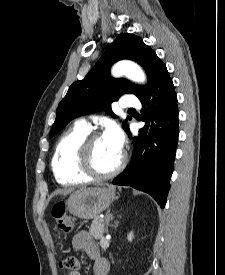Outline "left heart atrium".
<instances>
[{"label":"left heart atrium","instance_id":"left-heart-atrium-1","mask_svg":"<svg viewBox=\"0 0 225 275\" xmlns=\"http://www.w3.org/2000/svg\"><path fill=\"white\" fill-rule=\"evenodd\" d=\"M103 138L115 151L122 152L124 135L117 125H109L103 134Z\"/></svg>","mask_w":225,"mask_h":275}]
</instances>
